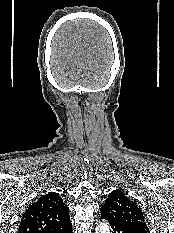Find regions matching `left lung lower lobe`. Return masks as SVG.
Masks as SVG:
<instances>
[{
  "instance_id": "0a47b994",
  "label": "left lung lower lobe",
  "mask_w": 174,
  "mask_h": 233,
  "mask_svg": "<svg viewBox=\"0 0 174 233\" xmlns=\"http://www.w3.org/2000/svg\"><path fill=\"white\" fill-rule=\"evenodd\" d=\"M101 218L109 222L111 226L112 233H148L146 229L136 227L134 225L123 223L121 221L110 219L108 216L104 215L101 210Z\"/></svg>"
}]
</instances>
